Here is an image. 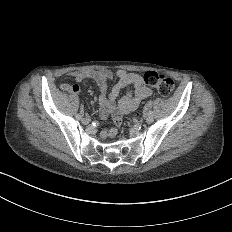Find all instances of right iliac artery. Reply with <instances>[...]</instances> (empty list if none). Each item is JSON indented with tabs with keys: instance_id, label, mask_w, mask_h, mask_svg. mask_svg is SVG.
<instances>
[{
	"instance_id": "obj_1",
	"label": "right iliac artery",
	"mask_w": 232,
	"mask_h": 232,
	"mask_svg": "<svg viewBox=\"0 0 232 232\" xmlns=\"http://www.w3.org/2000/svg\"><path fill=\"white\" fill-rule=\"evenodd\" d=\"M76 119L80 120L81 119V115L80 114H76Z\"/></svg>"
}]
</instances>
